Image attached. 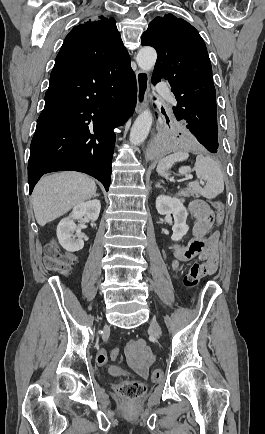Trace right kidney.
Segmentation results:
<instances>
[{
  "instance_id": "1",
  "label": "right kidney",
  "mask_w": 265,
  "mask_h": 434,
  "mask_svg": "<svg viewBox=\"0 0 265 434\" xmlns=\"http://www.w3.org/2000/svg\"><path fill=\"white\" fill-rule=\"evenodd\" d=\"M101 210L100 200H90V202H81L74 206L69 218H63L57 226V238L64 250L67 252H79L84 246V234L81 232V224L77 226L75 220H93L96 222ZM77 238V240H75Z\"/></svg>"
}]
</instances>
